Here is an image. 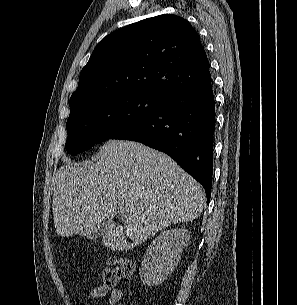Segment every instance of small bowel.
<instances>
[{
	"instance_id": "small-bowel-1",
	"label": "small bowel",
	"mask_w": 297,
	"mask_h": 305,
	"mask_svg": "<svg viewBox=\"0 0 297 305\" xmlns=\"http://www.w3.org/2000/svg\"><path fill=\"white\" fill-rule=\"evenodd\" d=\"M84 296L85 299L81 305H89L91 300L101 298H106V305H118L123 298V292L116 288V278L106 270L103 273L102 282L98 286L86 288Z\"/></svg>"
}]
</instances>
